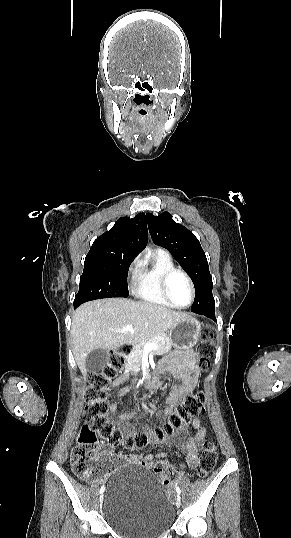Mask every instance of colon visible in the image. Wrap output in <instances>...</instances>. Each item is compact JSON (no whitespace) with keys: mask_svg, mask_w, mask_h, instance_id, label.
Wrapping results in <instances>:
<instances>
[{"mask_svg":"<svg viewBox=\"0 0 291 538\" xmlns=\"http://www.w3.org/2000/svg\"><path fill=\"white\" fill-rule=\"evenodd\" d=\"M214 330L205 328L201 332L202 342L197 346V366L201 371H206L210 366V359L214 354L212 340ZM125 358L118 353L108 357L107 365L99 372L90 377V385L86 390L85 422L80 430L78 442L71 452V465L76 475L82 479H91L93 476H105L108 467L105 463H98L100 458L99 443L107 442L115 445L123 442L127 448H142L149 439H162L166 434H171L175 429L183 428L192 417L205 411V395L202 392L189 393L177 404L175 409L168 415L166 423L150 433H137L132 438L123 439L120 431L108 416L109 392L113 387V381L123 369ZM217 447L212 440L204 442L200 457L198 475L207 476L216 464ZM145 468L152 467L159 480L169 484V466L165 461L151 462L147 459L140 461Z\"/></svg>","mask_w":291,"mask_h":538,"instance_id":"obj_1","label":"colon"}]
</instances>
